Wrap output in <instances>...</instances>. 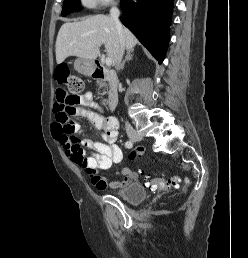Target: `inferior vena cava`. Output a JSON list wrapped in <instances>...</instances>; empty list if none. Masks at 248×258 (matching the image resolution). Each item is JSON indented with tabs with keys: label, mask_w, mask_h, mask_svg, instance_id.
Wrapping results in <instances>:
<instances>
[{
	"label": "inferior vena cava",
	"mask_w": 248,
	"mask_h": 258,
	"mask_svg": "<svg viewBox=\"0 0 248 258\" xmlns=\"http://www.w3.org/2000/svg\"><path fill=\"white\" fill-rule=\"evenodd\" d=\"M119 15H120L119 10L117 9V7L113 6L110 10V16L113 19V21L115 22V25H116V28H117V31L119 34V48L117 51V58H116L117 70L120 69V63H121V60H122V57L124 54V50H125V43H124V39H123V35H122L123 28L119 21ZM125 128H126V132L128 134L133 133V128L128 122L125 123Z\"/></svg>",
	"instance_id": "inferior-vena-cava-1"
}]
</instances>
